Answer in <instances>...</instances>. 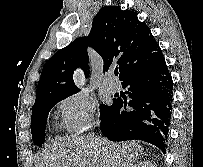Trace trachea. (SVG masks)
<instances>
[{
  "instance_id": "1",
  "label": "trachea",
  "mask_w": 203,
  "mask_h": 167,
  "mask_svg": "<svg viewBox=\"0 0 203 167\" xmlns=\"http://www.w3.org/2000/svg\"><path fill=\"white\" fill-rule=\"evenodd\" d=\"M115 75L118 76V71H115Z\"/></svg>"
}]
</instances>
